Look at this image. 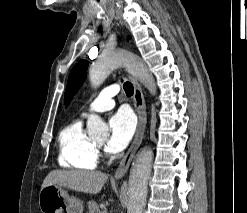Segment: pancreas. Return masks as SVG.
Listing matches in <instances>:
<instances>
[{"mask_svg": "<svg viewBox=\"0 0 247 213\" xmlns=\"http://www.w3.org/2000/svg\"><path fill=\"white\" fill-rule=\"evenodd\" d=\"M87 208V213H102V211L99 209L98 204L95 201H89Z\"/></svg>", "mask_w": 247, "mask_h": 213, "instance_id": "obj_1", "label": "pancreas"}]
</instances>
